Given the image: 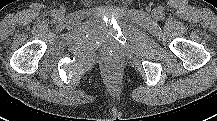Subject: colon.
<instances>
[{
	"label": "colon",
	"instance_id": "colon-1",
	"mask_svg": "<svg viewBox=\"0 0 217 121\" xmlns=\"http://www.w3.org/2000/svg\"><path fill=\"white\" fill-rule=\"evenodd\" d=\"M118 66L115 64H109L105 67V71L108 75H113L117 72Z\"/></svg>",
	"mask_w": 217,
	"mask_h": 121
}]
</instances>
